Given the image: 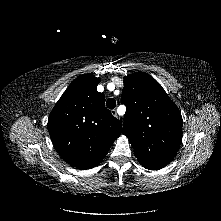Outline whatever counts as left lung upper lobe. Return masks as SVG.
<instances>
[{
  "label": "left lung upper lobe",
  "instance_id": "5c2ea615",
  "mask_svg": "<svg viewBox=\"0 0 221 221\" xmlns=\"http://www.w3.org/2000/svg\"><path fill=\"white\" fill-rule=\"evenodd\" d=\"M124 84L123 133L129 138L140 163L164 167L181 144V113L149 74L137 72L125 76Z\"/></svg>",
  "mask_w": 221,
  "mask_h": 221
}]
</instances>
